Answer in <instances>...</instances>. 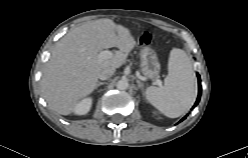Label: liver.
<instances>
[{"instance_id":"obj_1","label":"liver","mask_w":248,"mask_h":158,"mask_svg":"<svg viewBox=\"0 0 248 158\" xmlns=\"http://www.w3.org/2000/svg\"><path fill=\"white\" fill-rule=\"evenodd\" d=\"M136 41L130 31L110 19L87 22L69 31L54 47L41 78L48 106L62 115L71 114L76 104L91 94L101 71L122 66ZM117 47L103 59V49Z\"/></svg>"}]
</instances>
